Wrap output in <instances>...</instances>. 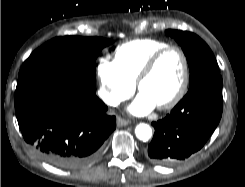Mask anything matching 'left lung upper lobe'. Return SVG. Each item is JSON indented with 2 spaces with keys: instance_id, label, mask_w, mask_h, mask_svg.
Here are the masks:
<instances>
[{
  "instance_id": "obj_1",
  "label": "left lung upper lobe",
  "mask_w": 245,
  "mask_h": 187,
  "mask_svg": "<svg viewBox=\"0 0 245 187\" xmlns=\"http://www.w3.org/2000/svg\"><path fill=\"white\" fill-rule=\"evenodd\" d=\"M182 47L187 57L190 70V87L195 84L219 75L215 57L208 45L197 35L178 30H166Z\"/></svg>"
}]
</instances>
